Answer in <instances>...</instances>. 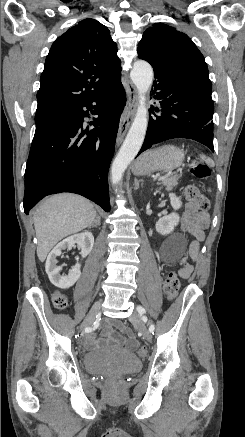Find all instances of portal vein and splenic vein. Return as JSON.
<instances>
[{
  "label": "portal vein and splenic vein",
  "instance_id": "obj_1",
  "mask_svg": "<svg viewBox=\"0 0 245 437\" xmlns=\"http://www.w3.org/2000/svg\"><path fill=\"white\" fill-rule=\"evenodd\" d=\"M170 175H171V173H168V174H166L164 176H160V177H158V180H163V179L169 177Z\"/></svg>",
  "mask_w": 245,
  "mask_h": 437
}]
</instances>
